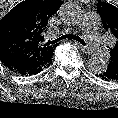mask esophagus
I'll use <instances>...</instances> for the list:
<instances>
[{
    "instance_id": "esophagus-1",
    "label": "esophagus",
    "mask_w": 118,
    "mask_h": 118,
    "mask_svg": "<svg viewBox=\"0 0 118 118\" xmlns=\"http://www.w3.org/2000/svg\"><path fill=\"white\" fill-rule=\"evenodd\" d=\"M78 45L80 46L82 52H84L86 55H92V51L89 48H87L86 46L80 45V44H78Z\"/></svg>"
}]
</instances>
